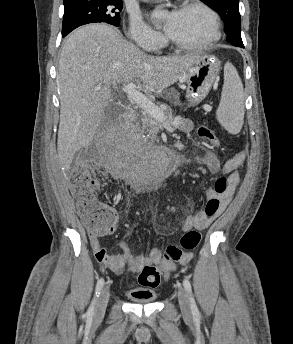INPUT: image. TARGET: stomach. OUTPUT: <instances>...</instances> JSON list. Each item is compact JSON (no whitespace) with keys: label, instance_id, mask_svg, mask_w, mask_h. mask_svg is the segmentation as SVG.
<instances>
[{"label":"stomach","instance_id":"0dacf381","mask_svg":"<svg viewBox=\"0 0 293 344\" xmlns=\"http://www.w3.org/2000/svg\"><path fill=\"white\" fill-rule=\"evenodd\" d=\"M220 70V62L210 55H199L197 61L185 71L181 81L187 85L190 105L200 103L209 93Z\"/></svg>","mask_w":293,"mask_h":344}]
</instances>
